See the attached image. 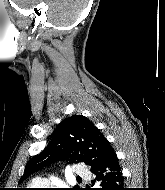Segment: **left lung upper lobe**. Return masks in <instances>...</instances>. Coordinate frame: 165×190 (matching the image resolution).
<instances>
[{"label": "left lung upper lobe", "mask_w": 165, "mask_h": 190, "mask_svg": "<svg viewBox=\"0 0 165 190\" xmlns=\"http://www.w3.org/2000/svg\"><path fill=\"white\" fill-rule=\"evenodd\" d=\"M114 153L100 130L85 116L76 115L63 120L47 145L25 166L20 182L32 173L60 160L85 162L91 169ZM79 190V188H73Z\"/></svg>", "instance_id": "5c2ea615"}]
</instances>
